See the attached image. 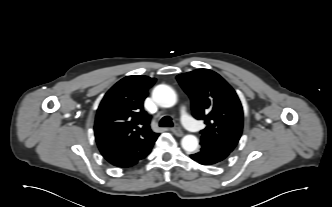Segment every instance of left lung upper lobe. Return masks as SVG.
I'll list each match as a JSON object with an SVG mask.
<instances>
[{
    "instance_id": "left-lung-upper-lobe-1",
    "label": "left lung upper lobe",
    "mask_w": 332,
    "mask_h": 207,
    "mask_svg": "<svg viewBox=\"0 0 332 207\" xmlns=\"http://www.w3.org/2000/svg\"><path fill=\"white\" fill-rule=\"evenodd\" d=\"M177 80L191 99L192 115L206 124L201 144L232 152L243 128V109L233 88L209 69L180 74Z\"/></svg>"
}]
</instances>
